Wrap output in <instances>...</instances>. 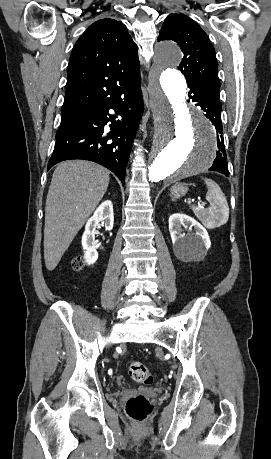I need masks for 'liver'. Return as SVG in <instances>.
Listing matches in <instances>:
<instances>
[{"mask_svg":"<svg viewBox=\"0 0 271 459\" xmlns=\"http://www.w3.org/2000/svg\"><path fill=\"white\" fill-rule=\"evenodd\" d=\"M109 184L106 168L71 160L58 164L45 208L44 259L49 271L58 265L79 229L102 200Z\"/></svg>","mask_w":271,"mask_h":459,"instance_id":"6515ba94","label":"liver"}]
</instances>
